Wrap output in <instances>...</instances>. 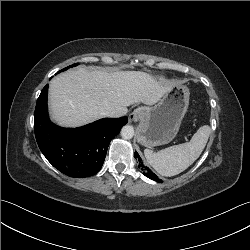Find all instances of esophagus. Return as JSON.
<instances>
[{"mask_svg": "<svg viewBox=\"0 0 250 250\" xmlns=\"http://www.w3.org/2000/svg\"><path fill=\"white\" fill-rule=\"evenodd\" d=\"M143 115V110L141 108L135 109L132 113L129 115L130 121L137 122Z\"/></svg>", "mask_w": 250, "mask_h": 250, "instance_id": "esophagus-1", "label": "esophagus"}]
</instances>
